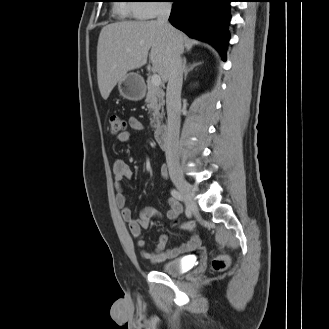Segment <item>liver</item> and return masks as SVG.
<instances>
[{
	"mask_svg": "<svg viewBox=\"0 0 329 329\" xmlns=\"http://www.w3.org/2000/svg\"><path fill=\"white\" fill-rule=\"evenodd\" d=\"M182 53L186 37L174 29ZM172 42L157 21H122L102 28L97 45V80L101 96L107 100L115 85L127 73L146 64L167 81L172 59Z\"/></svg>",
	"mask_w": 329,
	"mask_h": 329,
	"instance_id": "1",
	"label": "liver"
}]
</instances>
